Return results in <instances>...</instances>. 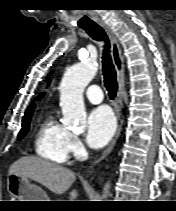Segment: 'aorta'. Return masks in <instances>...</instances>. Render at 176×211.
<instances>
[{"label":"aorta","instance_id":"1","mask_svg":"<svg viewBox=\"0 0 176 211\" xmlns=\"http://www.w3.org/2000/svg\"><path fill=\"white\" fill-rule=\"evenodd\" d=\"M98 71L92 62L78 63L64 73L60 84L62 122L70 129L81 131L86 127L83 91ZM109 184L105 185L103 198L107 197Z\"/></svg>","mask_w":176,"mask_h":211}]
</instances>
